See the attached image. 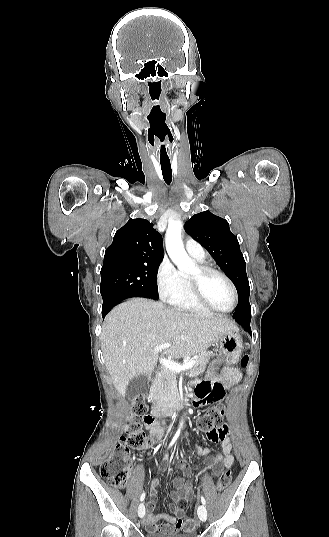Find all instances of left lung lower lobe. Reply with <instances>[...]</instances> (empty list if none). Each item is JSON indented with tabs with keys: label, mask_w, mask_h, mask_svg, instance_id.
<instances>
[{
	"label": "left lung lower lobe",
	"mask_w": 329,
	"mask_h": 537,
	"mask_svg": "<svg viewBox=\"0 0 329 537\" xmlns=\"http://www.w3.org/2000/svg\"><path fill=\"white\" fill-rule=\"evenodd\" d=\"M235 320L239 322L245 328V330H247L251 334V328H250L251 315H246L244 317H237L235 318Z\"/></svg>",
	"instance_id": "1"
}]
</instances>
